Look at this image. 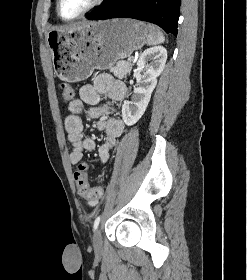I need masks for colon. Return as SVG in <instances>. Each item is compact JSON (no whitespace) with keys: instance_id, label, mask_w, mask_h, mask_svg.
I'll return each mask as SVG.
<instances>
[{"instance_id":"1","label":"colon","mask_w":247,"mask_h":280,"mask_svg":"<svg viewBox=\"0 0 247 280\" xmlns=\"http://www.w3.org/2000/svg\"><path fill=\"white\" fill-rule=\"evenodd\" d=\"M61 97L64 102H71L74 97V90L68 84L61 85ZM75 180L77 183L78 192L81 197L87 201L98 200L102 197L104 188L102 185L90 186L87 182V166L86 164L79 165L75 172Z\"/></svg>"}]
</instances>
